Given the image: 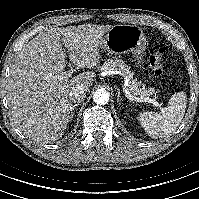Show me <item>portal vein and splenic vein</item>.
<instances>
[{
  "instance_id": "portal-vein-and-splenic-vein-1",
  "label": "portal vein and splenic vein",
  "mask_w": 199,
  "mask_h": 199,
  "mask_svg": "<svg viewBox=\"0 0 199 199\" xmlns=\"http://www.w3.org/2000/svg\"><path fill=\"white\" fill-rule=\"evenodd\" d=\"M73 72H74V69L69 70L68 73L62 72L61 76H58V79H63L65 76L71 77ZM126 84H127V80H126ZM124 93L128 97L129 100L136 101V102L152 103L154 106L158 107L159 109H163L162 105L159 102H157L155 99H151V98H148V97H134V96H132L130 94V92L128 91V89L126 88V86L124 87Z\"/></svg>"
}]
</instances>
